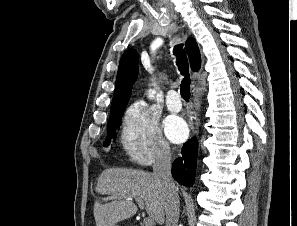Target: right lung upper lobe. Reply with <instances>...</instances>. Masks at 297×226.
Instances as JSON below:
<instances>
[{
  "label": "right lung upper lobe",
  "mask_w": 297,
  "mask_h": 226,
  "mask_svg": "<svg viewBox=\"0 0 297 226\" xmlns=\"http://www.w3.org/2000/svg\"><path fill=\"white\" fill-rule=\"evenodd\" d=\"M187 54L189 56L191 68L198 71L201 64L200 53L197 43L189 38L186 42ZM138 75V54L134 49H128L119 62L116 78V85L111 108L127 105L130 99L131 89Z\"/></svg>",
  "instance_id": "right-lung-upper-lobe-1"
}]
</instances>
